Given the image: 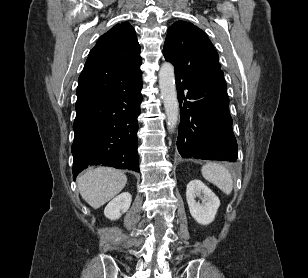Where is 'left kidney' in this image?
Wrapping results in <instances>:
<instances>
[{
	"label": "left kidney",
	"mask_w": 308,
	"mask_h": 278,
	"mask_svg": "<svg viewBox=\"0 0 308 278\" xmlns=\"http://www.w3.org/2000/svg\"><path fill=\"white\" fill-rule=\"evenodd\" d=\"M200 198L202 203L196 201ZM186 199L190 214L201 225H208L214 221L220 206L219 198L200 180L195 179L188 183Z\"/></svg>",
	"instance_id": "left-kidney-1"
}]
</instances>
